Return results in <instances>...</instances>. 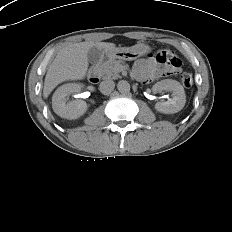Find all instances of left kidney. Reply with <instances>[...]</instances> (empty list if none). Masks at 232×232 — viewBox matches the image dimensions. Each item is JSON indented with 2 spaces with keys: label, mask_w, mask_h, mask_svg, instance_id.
<instances>
[{
  "label": "left kidney",
  "mask_w": 232,
  "mask_h": 232,
  "mask_svg": "<svg viewBox=\"0 0 232 232\" xmlns=\"http://www.w3.org/2000/svg\"><path fill=\"white\" fill-rule=\"evenodd\" d=\"M152 91L159 93L162 91H171L172 98L169 101H159L155 109L164 114H174L183 109L186 103V96L183 86L176 80L165 79L153 85Z\"/></svg>",
  "instance_id": "5707ae66"
}]
</instances>
